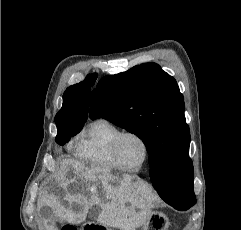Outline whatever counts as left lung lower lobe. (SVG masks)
<instances>
[{
	"label": "left lung lower lobe",
	"instance_id": "0a47b994",
	"mask_svg": "<svg viewBox=\"0 0 241 230\" xmlns=\"http://www.w3.org/2000/svg\"><path fill=\"white\" fill-rule=\"evenodd\" d=\"M150 178L152 181V184L156 191L160 192V187L163 185L165 182V172H164V165L161 161L156 160V162H152L150 164ZM166 202V201H165ZM169 205L173 206L177 210H187L191 206L195 204H183V203H178V202H167Z\"/></svg>",
	"mask_w": 241,
	"mask_h": 230
}]
</instances>
